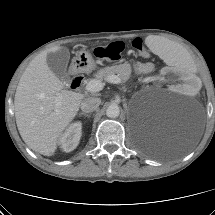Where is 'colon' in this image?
I'll use <instances>...</instances> for the list:
<instances>
[{
	"instance_id": "1",
	"label": "colon",
	"mask_w": 215,
	"mask_h": 215,
	"mask_svg": "<svg viewBox=\"0 0 215 215\" xmlns=\"http://www.w3.org/2000/svg\"><path fill=\"white\" fill-rule=\"evenodd\" d=\"M132 46L135 48L139 54L147 56L143 42L140 38H136L132 41ZM124 43L120 41L112 42L107 45L97 46L94 49V54L96 57L101 59H108L112 61L119 60L121 54L124 51Z\"/></svg>"
}]
</instances>
